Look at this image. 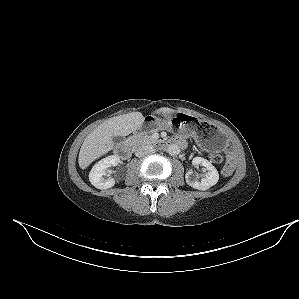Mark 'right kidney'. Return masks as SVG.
<instances>
[{"label":"right kidney","mask_w":299,"mask_h":299,"mask_svg":"<svg viewBox=\"0 0 299 299\" xmlns=\"http://www.w3.org/2000/svg\"><path fill=\"white\" fill-rule=\"evenodd\" d=\"M120 162V158L116 155L108 156L99 162H97L89 173V181L98 189H108L115 185L114 178H105L109 176L107 168L111 166H117Z\"/></svg>","instance_id":"obj_1"}]
</instances>
